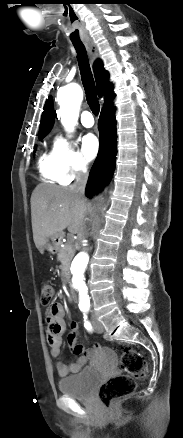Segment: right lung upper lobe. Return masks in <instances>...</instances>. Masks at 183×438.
<instances>
[{"label":"right lung upper lobe","instance_id":"cb5924a9","mask_svg":"<svg viewBox=\"0 0 183 438\" xmlns=\"http://www.w3.org/2000/svg\"><path fill=\"white\" fill-rule=\"evenodd\" d=\"M94 74L97 85V93L101 97L106 95L107 101L110 103L115 97L113 93L112 84L109 83V74L104 69L100 60L94 63ZM54 122V111L52 107V98L49 97L44 106V112L42 113L39 136L47 135L51 130Z\"/></svg>","mask_w":183,"mask_h":438}]
</instances>
